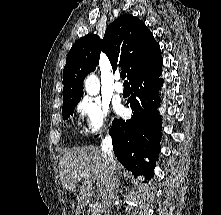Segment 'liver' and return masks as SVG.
Here are the masks:
<instances>
[{"mask_svg": "<svg viewBox=\"0 0 221 215\" xmlns=\"http://www.w3.org/2000/svg\"><path fill=\"white\" fill-rule=\"evenodd\" d=\"M115 167L121 173L122 166L116 161ZM60 177L63 188L74 193L77 212H80L92 198L93 183L96 182L99 196L104 197L110 177V165L96 146L72 148L61 158ZM79 182H82L81 186H78Z\"/></svg>", "mask_w": 221, "mask_h": 215, "instance_id": "obj_1", "label": "liver"}]
</instances>
